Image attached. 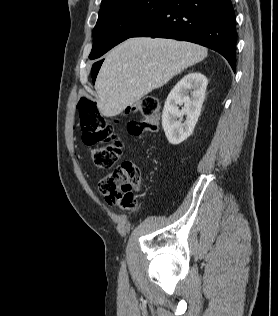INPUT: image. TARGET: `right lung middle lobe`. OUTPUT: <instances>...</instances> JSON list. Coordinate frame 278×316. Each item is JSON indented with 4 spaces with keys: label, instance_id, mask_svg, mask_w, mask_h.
Wrapping results in <instances>:
<instances>
[{
    "label": "right lung middle lobe",
    "instance_id": "right-lung-middle-lobe-1",
    "mask_svg": "<svg viewBox=\"0 0 278 316\" xmlns=\"http://www.w3.org/2000/svg\"><path fill=\"white\" fill-rule=\"evenodd\" d=\"M166 0H107L101 3L93 30L90 59L102 56L115 45L132 37L161 9ZM97 70L92 68V75Z\"/></svg>",
    "mask_w": 278,
    "mask_h": 316
}]
</instances>
